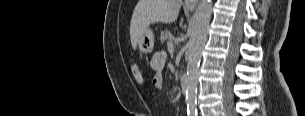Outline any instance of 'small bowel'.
Masks as SVG:
<instances>
[{"label":"small bowel","instance_id":"1","mask_svg":"<svg viewBox=\"0 0 305 116\" xmlns=\"http://www.w3.org/2000/svg\"><path fill=\"white\" fill-rule=\"evenodd\" d=\"M165 59V54L163 52H158L154 54L150 60V66L154 71L152 81L156 89H158L159 91L163 89V77L161 75V72L165 64Z\"/></svg>","mask_w":305,"mask_h":116}]
</instances>
